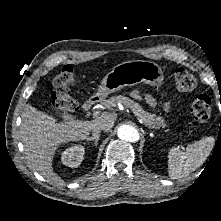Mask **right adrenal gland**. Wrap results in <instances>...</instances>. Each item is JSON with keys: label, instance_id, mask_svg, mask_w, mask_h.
Returning <instances> with one entry per match:
<instances>
[{"label": "right adrenal gland", "instance_id": "right-adrenal-gland-1", "mask_svg": "<svg viewBox=\"0 0 221 221\" xmlns=\"http://www.w3.org/2000/svg\"><path fill=\"white\" fill-rule=\"evenodd\" d=\"M99 140V134L93 136V137H88L86 141L89 143L90 141H94V146H97Z\"/></svg>", "mask_w": 221, "mask_h": 221}]
</instances>
